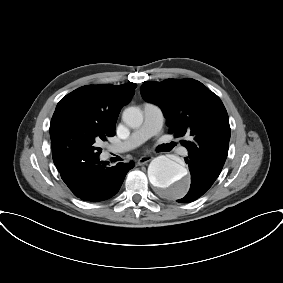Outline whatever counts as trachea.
<instances>
[{"instance_id": "1", "label": "trachea", "mask_w": 283, "mask_h": 283, "mask_svg": "<svg viewBox=\"0 0 283 283\" xmlns=\"http://www.w3.org/2000/svg\"><path fill=\"white\" fill-rule=\"evenodd\" d=\"M174 145H175L174 143L168 144V145H167L168 150H171V149L174 147Z\"/></svg>"}]
</instances>
